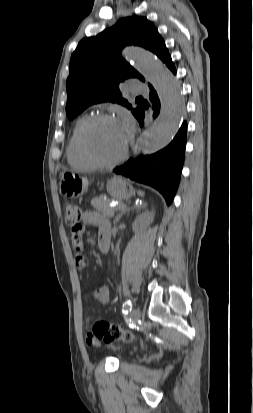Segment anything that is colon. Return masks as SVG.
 Here are the masks:
<instances>
[{
  "mask_svg": "<svg viewBox=\"0 0 253 413\" xmlns=\"http://www.w3.org/2000/svg\"><path fill=\"white\" fill-rule=\"evenodd\" d=\"M63 214L65 223L73 229L79 226L81 217L80 209L77 205L66 202L63 206ZM89 336L96 340H103L107 343L121 340L124 342H132L135 340V335L119 326L112 325L104 320H97L92 327Z\"/></svg>",
  "mask_w": 253,
  "mask_h": 413,
  "instance_id": "obj_1",
  "label": "colon"
}]
</instances>
